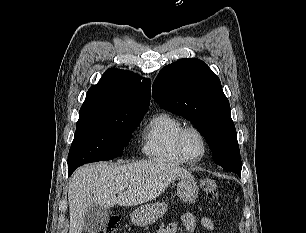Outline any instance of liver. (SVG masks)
<instances>
[{
  "label": "liver",
  "instance_id": "obj_1",
  "mask_svg": "<svg viewBox=\"0 0 306 233\" xmlns=\"http://www.w3.org/2000/svg\"><path fill=\"white\" fill-rule=\"evenodd\" d=\"M190 172L162 159L112 165L98 162L78 168L69 180V233H81L84 215L93 205L136 206L157 198L176 179ZM121 185L126 190L116 197Z\"/></svg>",
  "mask_w": 306,
  "mask_h": 233
}]
</instances>
